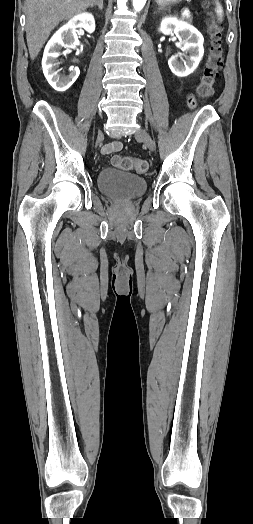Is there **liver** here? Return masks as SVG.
Masks as SVG:
<instances>
[{
	"label": "liver",
	"instance_id": "1",
	"mask_svg": "<svg viewBox=\"0 0 253 524\" xmlns=\"http://www.w3.org/2000/svg\"><path fill=\"white\" fill-rule=\"evenodd\" d=\"M97 0H26V39L34 60L50 32L63 20L85 11Z\"/></svg>",
	"mask_w": 253,
	"mask_h": 524
}]
</instances>
